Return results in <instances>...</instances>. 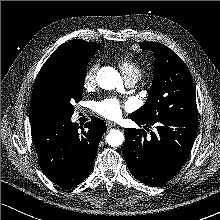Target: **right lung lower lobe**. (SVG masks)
<instances>
[{
  "label": "right lung lower lobe",
  "instance_id": "obj_1",
  "mask_svg": "<svg viewBox=\"0 0 220 220\" xmlns=\"http://www.w3.org/2000/svg\"><path fill=\"white\" fill-rule=\"evenodd\" d=\"M84 128L80 132L71 117L53 115L32 123L39 165L52 182L63 188L74 187L88 177L100 139L107 130L104 121L96 117Z\"/></svg>",
  "mask_w": 220,
  "mask_h": 220
}]
</instances>
